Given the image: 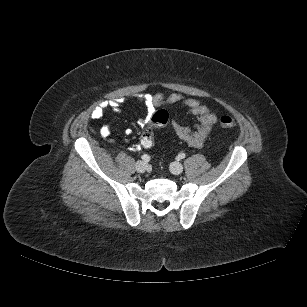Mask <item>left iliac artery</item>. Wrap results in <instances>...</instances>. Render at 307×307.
I'll use <instances>...</instances> for the list:
<instances>
[{"instance_id":"obj_1","label":"left iliac artery","mask_w":307,"mask_h":307,"mask_svg":"<svg viewBox=\"0 0 307 307\" xmlns=\"http://www.w3.org/2000/svg\"><path fill=\"white\" fill-rule=\"evenodd\" d=\"M185 154L184 153H179L178 154V159H184L185 158Z\"/></svg>"}]
</instances>
